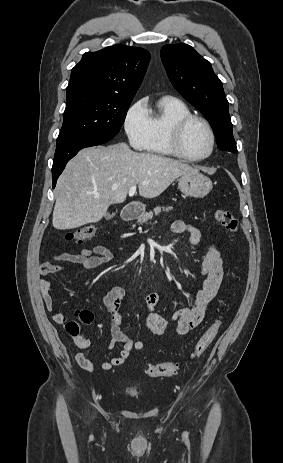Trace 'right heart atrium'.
<instances>
[{
    "mask_svg": "<svg viewBox=\"0 0 283 463\" xmlns=\"http://www.w3.org/2000/svg\"><path fill=\"white\" fill-rule=\"evenodd\" d=\"M123 127L129 144L135 149H143L149 133L148 111L144 100H138L129 107Z\"/></svg>",
    "mask_w": 283,
    "mask_h": 463,
    "instance_id": "d8ad5b80",
    "label": "right heart atrium"
}]
</instances>
